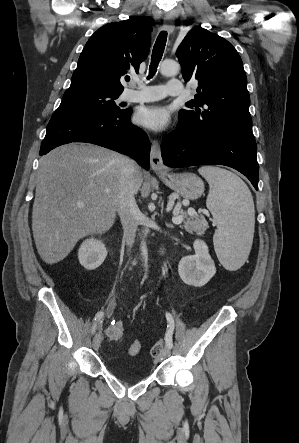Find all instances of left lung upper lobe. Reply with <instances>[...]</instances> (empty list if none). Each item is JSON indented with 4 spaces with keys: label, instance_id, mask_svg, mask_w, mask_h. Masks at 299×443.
Returning a JSON list of instances; mask_svg holds the SVG:
<instances>
[{
    "label": "left lung upper lobe",
    "instance_id": "5c2ea615",
    "mask_svg": "<svg viewBox=\"0 0 299 443\" xmlns=\"http://www.w3.org/2000/svg\"><path fill=\"white\" fill-rule=\"evenodd\" d=\"M176 56L186 82L198 81L195 99L179 119L196 131L252 133L250 96L242 60L224 38L196 26L179 45Z\"/></svg>",
    "mask_w": 299,
    "mask_h": 443
}]
</instances>
